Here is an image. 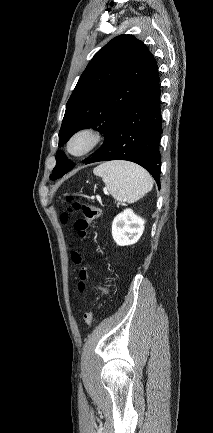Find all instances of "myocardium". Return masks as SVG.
Wrapping results in <instances>:
<instances>
[{"mask_svg": "<svg viewBox=\"0 0 213 433\" xmlns=\"http://www.w3.org/2000/svg\"><path fill=\"white\" fill-rule=\"evenodd\" d=\"M85 140V146L82 150L74 152L72 144L78 140ZM102 136L99 130L92 126H84L75 130L68 138L66 143L67 152L73 157H83L92 152L101 142Z\"/></svg>", "mask_w": 213, "mask_h": 433, "instance_id": "1", "label": "myocardium"}]
</instances>
